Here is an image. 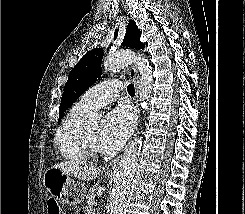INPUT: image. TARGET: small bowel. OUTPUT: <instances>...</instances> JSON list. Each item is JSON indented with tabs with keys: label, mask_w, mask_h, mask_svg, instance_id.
Here are the masks:
<instances>
[{
	"label": "small bowel",
	"mask_w": 245,
	"mask_h": 214,
	"mask_svg": "<svg viewBox=\"0 0 245 214\" xmlns=\"http://www.w3.org/2000/svg\"><path fill=\"white\" fill-rule=\"evenodd\" d=\"M78 214H94V213L90 207L85 206L79 210Z\"/></svg>",
	"instance_id": "small-bowel-1"
}]
</instances>
